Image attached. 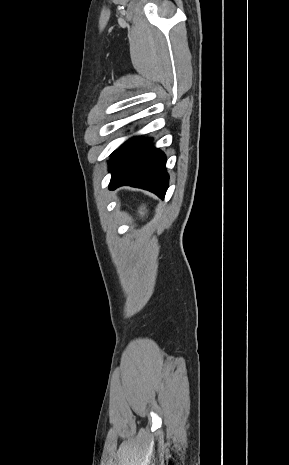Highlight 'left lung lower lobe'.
I'll use <instances>...</instances> for the list:
<instances>
[{"instance_id": "left-lung-lower-lobe-1", "label": "left lung lower lobe", "mask_w": 289, "mask_h": 465, "mask_svg": "<svg viewBox=\"0 0 289 465\" xmlns=\"http://www.w3.org/2000/svg\"><path fill=\"white\" fill-rule=\"evenodd\" d=\"M110 189L130 185L149 190L164 198L169 176L166 156L151 147V139L134 138L124 143L109 161Z\"/></svg>"}]
</instances>
